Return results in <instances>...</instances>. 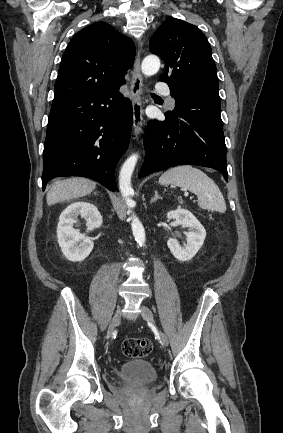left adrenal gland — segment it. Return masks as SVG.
<instances>
[{
    "label": "left adrenal gland",
    "instance_id": "obj_1",
    "mask_svg": "<svg viewBox=\"0 0 283 433\" xmlns=\"http://www.w3.org/2000/svg\"><path fill=\"white\" fill-rule=\"evenodd\" d=\"M155 192V196H153V198H151V202H155V200H157V198H162V196H160V194H158V190H154Z\"/></svg>",
    "mask_w": 283,
    "mask_h": 433
}]
</instances>
